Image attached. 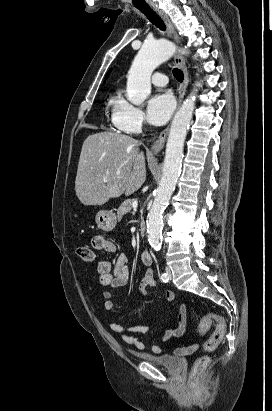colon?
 <instances>
[{
	"instance_id": "1",
	"label": "colon",
	"mask_w": 272,
	"mask_h": 411,
	"mask_svg": "<svg viewBox=\"0 0 272 411\" xmlns=\"http://www.w3.org/2000/svg\"><path fill=\"white\" fill-rule=\"evenodd\" d=\"M78 256L85 262H92L94 260V252L88 246H80L77 248ZM216 324L215 330L212 332L209 339L203 345L204 354L200 355L194 362L189 382L193 387H199L201 384V375L208 367L210 359L207 353L214 351L217 346L223 342L226 331L227 324L223 317L215 314L208 313L206 314L199 323L198 331L200 334H205L212 324Z\"/></svg>"
}]
</instances>
